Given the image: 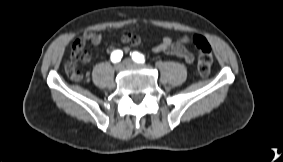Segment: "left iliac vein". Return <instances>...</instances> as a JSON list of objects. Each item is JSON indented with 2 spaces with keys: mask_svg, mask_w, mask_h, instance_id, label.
<instances>
[{
  "mask_svg": "<svg viewBox=\"0 0 283 162\" xmlns=\"http://www.w3.org/2000/svg\"><path fill=\"white\" fill-rule=\"evenodd\" d=\"M123 63H124V65H126V66L134 65V61L131 60V59H129V58L125 59V60L123 61Z\"/></svg>",
  "mask_w": 283,
  "mask_h": 162,
  "instance_id": "left-iliac-vein-1",
  "label": "left iliac vein"
}]
</instances>
